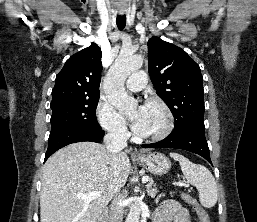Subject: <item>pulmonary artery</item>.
Here are the masks:
<instances>
[{"instance_id":"pulmonary-artery-1","label":"pulmonary artery","mask_w":257,"mask_h":222,"mask_svg":"<svg viewBox=\"0 0 257 222\" xmlns=\"http://www.w3.org/2000/svg\"><path fill=\"white\" fill-rule=\"evenodd\" d=\"M147 83V76L144 71H137L126 81V86L131 91L141 90Z\"/></svg>"}]
</instances>
